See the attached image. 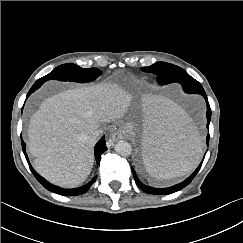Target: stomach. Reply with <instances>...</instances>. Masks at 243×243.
I'll return each mask as SVG.
<instances>
[{
  "mask_svg": "<svg viewBox=\"0 0 243 243\" xmlns=\"http://www.w3.org/2000/svg\"><path fill=\"white\" fill-rule=\"evenodd\" d=\"M125 130L127 133L132 134L133 130H134V126L132 124L128 123L125 127Z\"/></svg>",
  "mask_w": 243,
  "mask_h": 243,
  "instance_id": "obj_1",
  "label": "stomach"
}]
</instances>
